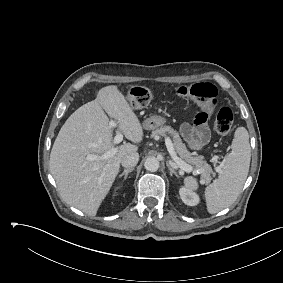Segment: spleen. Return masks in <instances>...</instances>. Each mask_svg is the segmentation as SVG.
<instances>
[{
	"label": "spleen",
	"instance_id": "1",
	"mask_svg": "<svg viewBox=\"0 0 283 283\" xmlns=\"http://www.w3.org/2000/svg\"><path fill=\"white\" fill-rule=\"evenodd\" d=\"M231 148L232 151L224 157L218 179L205 189L207 210L210 214H215L233 204L246 181L251 148L249 135L244 127L237 128ZM184 185L191 190L198 187L196 179L191 176L184 179Z\"/></svg>",
	"mask_w": 283,
	"mask_h": 283
}]
</instances>
